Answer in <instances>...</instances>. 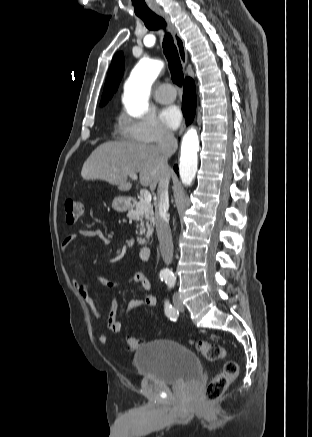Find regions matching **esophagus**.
Here are the masks:
<instances>
[{
	"mask_svg": "<svg viewBox=\"0 0 312 437\" xmlns=\"http://www.w3.org/2000/svg\"><path fill=\"white\" fill-rule=\"evenodd\" d=\"M157 14L167 22V24H168V26L173 34L174 42H175V45H176V48L178 51V55H179L181 64H182L183 68L185 69V67L187 65V51H186L183 39L181 38L177 29L174 27L169 16L165 12L160 11V12H157ZM184 128H185V121L181 124L179 134H181L183 132Z\"/></svg>",
	"mask_w": 312,
	"mask_h": 437,
	"instance_id": "esophagus-1",
	"label": "esophagus"
}]
</instances>
